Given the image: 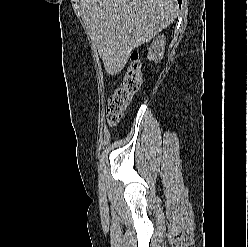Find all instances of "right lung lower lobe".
<instances>
[{"label": "right lung lower lobe", "mask_w": 248, "mask_h": 247, "mask_svg": "<svg viewBox=\"0 0 248 247\" xmlns=\"http://www.w3.org/2000/svg\"><path fill=\"white\" fill-rule=\"evenodd\" d=\"M178 3H179V5H181V3H182V0H178Z\"/></svg>", "instance_id": "98d812e1"}]
</instances>
